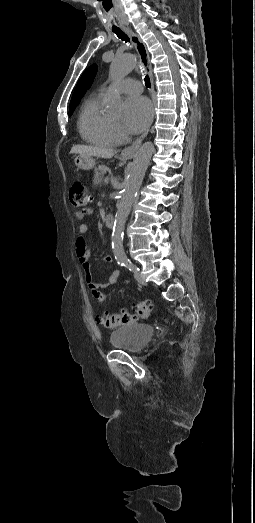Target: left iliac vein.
I'll list each match as a JSON object with an SVG mask.
<instances>
[{"label": "left iliac vein", "mask_w": 255, "mask_h": 523, "mask_svg": "<svg viewBox=\"0 0 255 523\" xmlns=\"http://www.w3.org/2000/svg\"><path fill=\"white\" fill-rule=\"evenodd\" d=\"M134 277L138 283L142 285H147V282L145 281L144 277L142 276L139 270L134 271Z\"/></svg>", "instance_id": "left-iliac-vein-1"}]
</instances>
